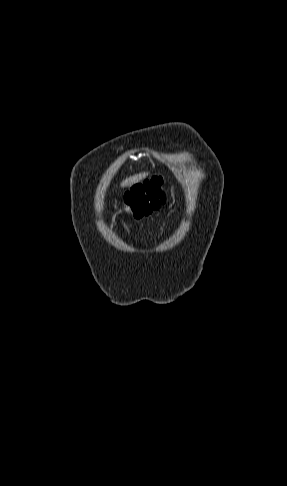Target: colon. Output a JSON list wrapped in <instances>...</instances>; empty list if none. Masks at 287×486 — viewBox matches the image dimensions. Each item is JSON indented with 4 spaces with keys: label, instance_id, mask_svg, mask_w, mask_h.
<instances>
[{
    "label": "colon",
    "instance_id": "1",
    "mask_svg": "<svg viewBox=\"0 0 287 486\" xmlns=\"http://www.w3.org/2000/svg\"><path fill=\"white\" fill-rule=\"evenodd\" d=\"M167 200L163 179L154 176L133 185L123 198L124 209L135 219H140L158 210Z\"/></svg>",
    "mask_w": 287,
    "mask_h": 486
}]
</instances>
